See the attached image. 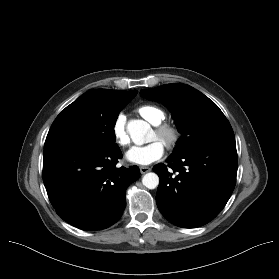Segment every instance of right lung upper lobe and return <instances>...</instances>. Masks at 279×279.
Returning <instances> with one entry per match:
<instances>
[{
	"instance_id": "right-lung-upper-lobe-1",
	"label": "right lung upper lobe",
	"mask_w": 279,
	"mask_h": 279,
	"mask_svg": "<svg viewBox=\"0 0 279 279\" xmlns=\"http://www.w3.org/2000/svg\"><path fill=\"white\" fill-rule=\"evenodd\" d=\"M88 95L101 100V101H125L132 100L137 91H118V90H106V89H95L86 92Z\"/></svg>"
}]
</instances>
